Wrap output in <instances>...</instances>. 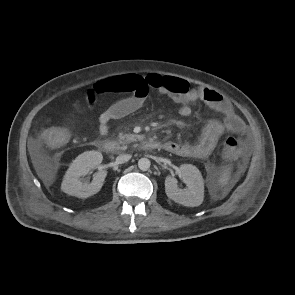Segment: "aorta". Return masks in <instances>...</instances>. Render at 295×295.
I'll return each instance as SVG.
<instances>
[{
  "instance_id": "aorta-1",
  "label": "aorta",
  "mask_w": 295,
  "mask_h": 295,
  "mask_svg": "<svg viewBox=\"0 0 295 295\" xmlns=\"http://www.w3.org/2000/svg\"><path fill=\"white\" fill-rule=\"evenodd\" d=\"M151 162L148 158H141L138 161V167L142 171H146L150 168Z\"/></svg>"
}]
</instances>
